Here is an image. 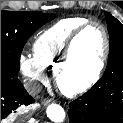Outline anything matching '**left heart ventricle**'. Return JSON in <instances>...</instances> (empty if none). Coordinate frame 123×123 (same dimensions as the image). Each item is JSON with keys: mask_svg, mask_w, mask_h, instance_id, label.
I'll use <instances>...</instances> for the list:
<instances>
[{"mask_svg": "<svg viewBox=\"0 0 123 123\" xmlns=\"http://www.w3.org/2000/svg\"><path fill=\"white\" fill-rule=\"evenodd\" d=\"M103 51V35L97 26L89 27L76 41L64 81L75 85L89 79Z\"/></svg>", "mask_w": 123, "mask_h": 123, "instance_id": "left-heart-ventricle-1", "label": "left heart ventricle"}]
</instances>
